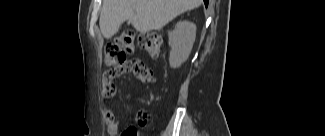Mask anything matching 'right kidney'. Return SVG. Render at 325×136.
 <instances>
[{
	"label": "right kidney",
	"instance_id": "right-kidney-1",
	"mask_svg": "<svg viewBox=\"0 0 325 136\" xmlns=\"http://www.w3.org/2000/svg\"><path fill=\"white\" fill-rule=\"evenodd\" d=\"M168 36L171 47L169 64L172 68H178L190 55L196 38V25L189 21H180Z\"/></svg>",
	"mask_w": 325,
	"mask_h": 136
}]
</instances>
